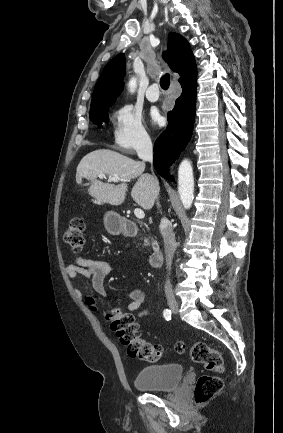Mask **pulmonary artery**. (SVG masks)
<instances>
[{
  "label": "pulmonary artery",
  "mask_w": 283,
  "mask_h": 433,
  "mask_svg": "<svg viewBox=\"0 0 283 433\" xmlns=\"http://www.w3.org/2000/svg\"><path fill=\"white\" fill-rule=\"evenodd\" d=\"M146 98L151 102H156L160 99V95L158 94L157 86L154 83H151L148 86V90L146 92Z\"/></svg>",
  "instance_id": "obj_1"
}]
</instances>
